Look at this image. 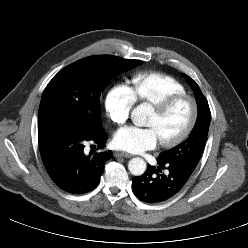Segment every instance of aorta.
Masks as SVG:
<instances>
[{"label": "aorta", "mask_w": 248, "mask_h": 248, "mask_svg": "<svg viewBox=\"0 0 248 248\" xmlns=\"http://www.w3.org/2000/svg\"><path fill=\"white\" fill-rule=\"evenodd\" d=\"M142 116H144V108L143 106H138L132 112V119L135 124H139ZM146 162L139 157L132 158L128 163V169L131 174L135 176H141L146 171Z\"/></svg>", "instance_id": "obj_1"}]
</instances>
